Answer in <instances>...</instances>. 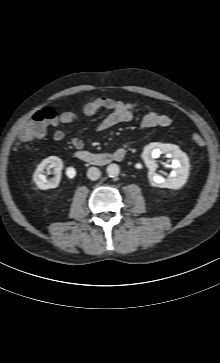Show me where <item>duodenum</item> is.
I'll return each instance as SVG.
<instances>
[{
    "label": "duodenum",
    "mask_w": 220,
    "mask_h": 363,
    "mask_svg": "<svg viewBox=\"0 0 220 363\" xmlns=\"http://www.w3.org/2000/svg\"><path fill=\"white\" fill-rule=\"evenodd\" d=\"M126 156L125 149H118L114 153H92L88 151H78L76 157L82 162L95 166H104L111 162L122 161Z\"/></svg>",
    "instance_id": "obj_1"
}]
</instances>
